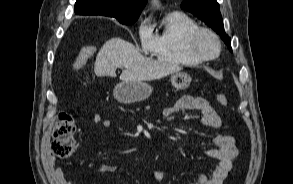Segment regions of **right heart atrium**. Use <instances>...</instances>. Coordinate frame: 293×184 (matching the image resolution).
<instances>
[{
  "label": "right heart atrium",
  "instance_id": "1",
  "mask_svg": "<svg viewBox=\"0 0 293 184\" xmlns=\"http://www.w3.org/2000/svg\"><path fill=\"white\" fill-rule=\"evenodd\" d=\"M137 34L142 51L151 53L155 45V35L153 33L151 21L148 18L140 20L137 26Z\"/></svg>",
  "mask_w": 293,
  "mask_h": 184
}]
</instances>
